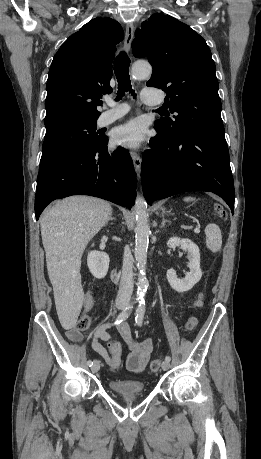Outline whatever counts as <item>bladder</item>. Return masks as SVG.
<instances>
[{
  "mask_svg": "<svg viewBox=\"0 0 261 459\" xmlns=\"http://www.w3.org/2000/svg\"><path fill=\"white\" fill-rule=\"evenodd\" d=\"M108 387L118 395H136L146 391L143 382L132 379H112L108 382Z\"/></svg>",
  "mask_w": 261,
  "mask_h": 459,
  "instance_id": "1",
  "label": "bladder"
}]
</instances>
